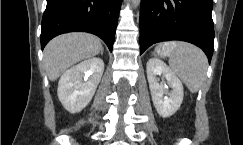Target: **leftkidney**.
Listing matches in <instances>:
<instances>
[{
  "label": "left kidney",
  "instance_id": "5707ae66",
  "mask_svg": "<svg viewBox=\"0 0 243 145\" xmlns=\"http://www.w3.org/2000/svg\"><path fill=\"white\" fill-rule=\"evenodd\" d=\"M147 79L153 104L158 114L167 118L172 116L181 106L184 96L183 85L173 71L160 59L151 58L147 62ZM163 75L167 85L159 84L156 75Z\"/></svg>",
  "mask_w": 243,
  "mask_h": 145
}]
</instances>
